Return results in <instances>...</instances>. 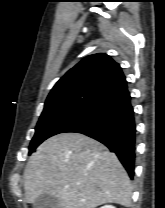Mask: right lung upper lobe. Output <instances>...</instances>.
I'll use <instances>...</instances> for the list:
<instances>
[{"label": "right lung upper lobe", "instance_id": "cb5924a9", "mask_svg": "<svg viewBox=\"0 0 165 208\" xmlns=\"http://www.w3.org/2000/svg\"><path fill=\"white\" fill-rule=\"evenodd\" d=\"M127 89L120 66L103 53L82 59L52 88L45 107L80 103L96 105L101 100Z\"/></svg>", "mask_w": 165, "mask_h": 208}]
</instances>
